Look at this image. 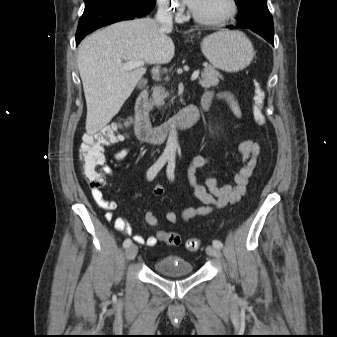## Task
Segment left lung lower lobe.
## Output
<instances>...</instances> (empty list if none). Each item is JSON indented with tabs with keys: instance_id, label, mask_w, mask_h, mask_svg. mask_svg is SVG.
<instances>
[{
	"instance_id": "1",
	"label": "left lung lower lobe",
	"mask_w": 337,
	"mask_h": 337,
	"mask_svg": "<svg viewBox=\"0 0 337 337\" xmlns=\"http://www.w3.org/2000/svg\"><path fill=\"white\" fill-rule=\"evenodd\" d=\"M239 28L242 29H250L251 31L259 34L265 40L274 45V27L273 24H266L259 21H250V20H242L239 21ZM229 29L234 28L233 26H228Z\"/></svg>"
}]
</instances>
